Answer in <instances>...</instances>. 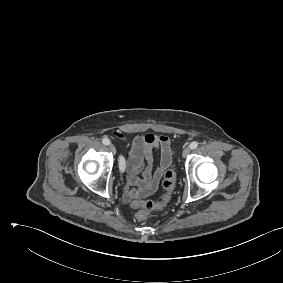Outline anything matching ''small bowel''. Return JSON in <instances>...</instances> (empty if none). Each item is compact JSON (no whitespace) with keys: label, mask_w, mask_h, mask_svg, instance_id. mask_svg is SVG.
<instances>
[{"label":"small bowel","mask_w":283,"mask_h":283,"mask_svg":"<svg viewBox=\"0 0 283 283\" xmlns=\"http://www.w3.org/2000/svg\"><path fill=\"white\" fill-rule=\"evenodd\" d=\"M117 137L125 140V136L115 133ZM159 149V160L156 169L153 170L154 159L152 148ZM172 162V150L170 139L165 135H137L129 149L127 162L128 177L125 187V198L142 199L152 194L164 172ZM142 172V178L138 174ZM134 186L136 188H130Z\"/></svg>","instance_id":"1"}]
</instances>
